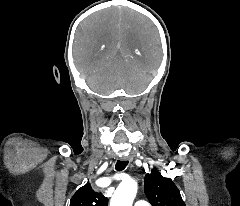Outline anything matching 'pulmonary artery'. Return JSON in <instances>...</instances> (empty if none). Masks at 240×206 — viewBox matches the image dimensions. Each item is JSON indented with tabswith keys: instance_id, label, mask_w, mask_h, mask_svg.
Returning a JSON list of instances; mask_svg holds the SVG:
<instances>
[{
	"instance_id": "e3ab8cb5",
	"label": "pulmonary artery",
	"mask_w": 240,
	"mask_h": 206,
	"mask_svg": "<svg viewBox=\"0 0 240 206\" xmlns=\"http://www.w3.org/2000/svg\"><path fill=\"white\" fill-rule=\"evenodd\" d=\"M134 206H150V204L145 200H138Z\"/></svg>"
}]
</instances>
